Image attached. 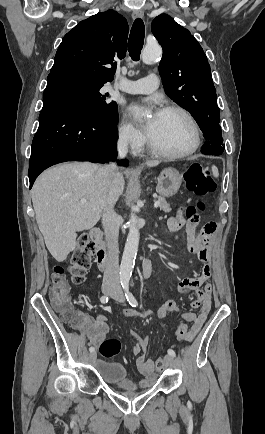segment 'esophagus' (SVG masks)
Wrapping results in <instances>:
<instances>
[{"mask_svg":"<svg viewBox=\"0 0 265 434\" xmlns=\"http://www.w3.org/2000/svg\"><path fill=\"white\" fill-rule=\"evenodd\" d=\"M144 15L143 10H134V12L132 13V17L133 19H137V18H142Z\"/></svg>","mask_w":265,"mask_h":434,"instance_id":"esophagus-1","label":"esophagus"}]
</instances>
